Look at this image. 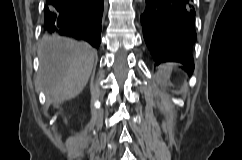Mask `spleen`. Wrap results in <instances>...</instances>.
Instances as JSON below:
<instances>
[{"label":"spleen","mask_w":242,"mask_h":160,"mask_svg":"<svg viewBox=\"0 0 242 160\" xmlns=\"http://www.w3.org/2000/svg\"><path fill=\"white\" fill-rule=\"evenodd\" d=\"M171 71H172V67L170 65H164L161 67L159 74L167 78L169 77Z\"/></svg>","instance_id":"3e777b00"}]
</instances>
